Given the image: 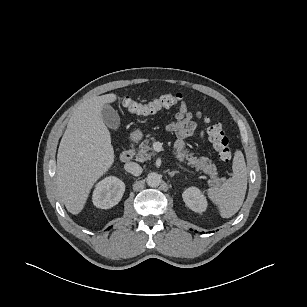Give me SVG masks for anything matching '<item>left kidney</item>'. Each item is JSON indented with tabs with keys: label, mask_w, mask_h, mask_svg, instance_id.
I'll return each mask as SVG.
<instances>
[{
	"label": "left kidney",
	"mask_w": 307,
	"mask_h": 307,
	"mask_svg": "<svg viewBox=\"0 0 307 307\" xmlns=\"http://www.w3.org/2000/svg\"><path fill=\"white\" fill-rule=\"evenodd\" d=\"M183 201L192 211L202 213L207 208V200L201 191L196 187L187 188L183 194Z\"/></svg>",
	"instance_id": "obj_1"
}]
</instances>
